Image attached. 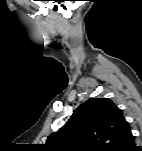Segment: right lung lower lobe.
Wrapping results in <instances>:
<instances>
[{
	"label": "right lung lower lobe",
	"mask_w": 142,
	"mask_h": 151,
	"mask_svg": "<svg viewBox=\"0 0 142 151\" xmlns=\"http://www.w3.org/2000/svg\"><path fill=\"white\" fill-rule=\"evenodd\" d=\"M140 148H141V147H136V146L134 145V140H133V142H132L130 145H128L125 149H123V150H121V151L141 150Z\"/></svg>",
	"instance_id": "1"
}]
</instances>
